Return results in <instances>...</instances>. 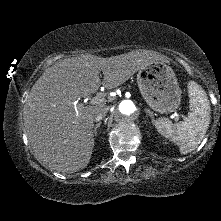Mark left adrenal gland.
<instances>
[{
	"label": "left adrenal gland",
	"instance_id": "a2214340",
	"mask_svg": "<svg viewBox=\"0 0 221 221\" xmlns=\"http://www.w3.org/2000/svg\"><path fill=\"white\" fill-rule=\"evenodd\" d=\"M146 111V113L150 116V118H151V120H152V123H154V115H153V112L151 111V110H145Z\"/></svg>",
	"mask_w": 221,
	"mask_h": 221
}]
</instances>
